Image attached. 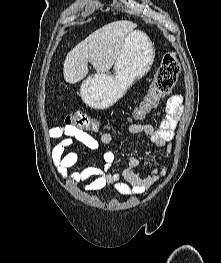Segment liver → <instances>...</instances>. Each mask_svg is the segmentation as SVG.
<instances>
[{
	"label": "liver",
	"mask_w": 221,
	"mask_h": 263,
	"mask_svg": "<svg viewBox=\"0 0 221 263\" xmlns=\"http://www.w3.org/2000/svg\"><path fill=\"white\" fill-rule=\"evenodd\" d=\"M131 21H114L97 29L78 43L63 63L64 79L69 84L81 81L88 74V62L98 73L111 69L125 37L136 28Z\"/></svg>",
	"instance_id": "1"
}]
</instances>
